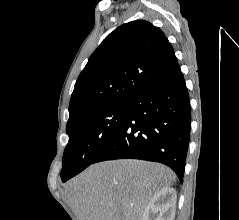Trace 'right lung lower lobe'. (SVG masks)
Segmentation results:
<instances>
[{"label": "right lung lower lobe", "instance_id": "1", "mask_svg": "<svg viewBox=\"0 0 239 220\" xmlns=\"http://www.w3.org/2000/svg\"><path fill=\"white\" fill-rule=\"evenodd\" d=\"M190 102L177 63L128 102L127 116L93 163L143 159L169 166L183 182Z\"/></svg>", "mask_w": 239, "mask_h": 220}]
</instances>
